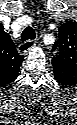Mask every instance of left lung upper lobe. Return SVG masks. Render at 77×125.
Returning a JSON list of instances; mask_svg holds the SVG:
<instances>
[{"label":"left lung upper lobe","instance_id":"left-lung-upper-lobe-1","mask_svg":"<svg viewBox=\"0 0 77 125\" xmlns=\"http://www.w3.org/2000/svg\"><path fill=\"white\" fill-rule=\"evenodd\" d=\"M55 49H57L58 52L53 58L52 64L67 65L73 67L74 69L77 67L76 22H66L62 24V26L59 28V39L53 46V50Z\"/></svg>","mask_w":77,"mask_h":125}]
</instances>
